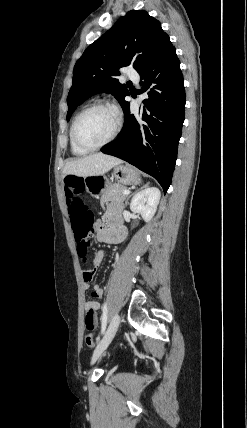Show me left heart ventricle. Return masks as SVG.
<instances>
[{"mask_svg": "<svg viewBox=\"0 0 247 428\" xmlns=\"http://www.w3.org/2000/svg\"><path fill=\"white\" fill-rule=\"evenodd\" d=\"M115 125L114 115L106 109H93L84 114L77 125L79 139L89 145L105 141Z\"/></svg>", "mask_w": 247, "mask_h": 428, "instance_id": "1", "label": "left heart ventricle"}]
</instances>
